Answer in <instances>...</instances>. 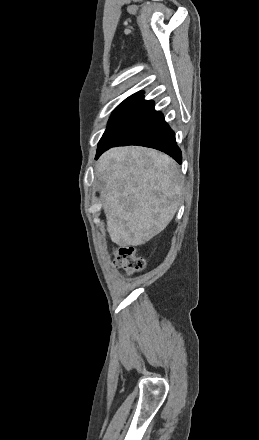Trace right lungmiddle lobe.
Wrapping results in <instances>:
<instances>
[{"label": "right lung middle lobe", "instance_id": "1", "mask_svg": "<svg viewBox=\"0 0 259 440\" xmlns=\"http://www.w3.org/2000/svg\"><path fill=\"white\" fill-rule=\"evenodd\" d=\"M142 94H134L125 99L112 113L108 122V127L103 134L102 139L108 136L127 116L142 102Z\"/></svg>", "mask_w": 259, "mask_h": 440}]
</instances>
